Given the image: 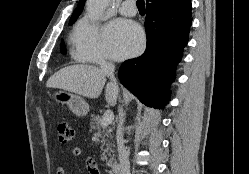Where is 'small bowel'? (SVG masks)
<instances>
[{
	"label": "small bowel",
	"instance_id": "c3829d8e",
	"mask_svg": "<svg viewBox=\"0 0 249 174\" xmlns=\"http://www.w3.org/2000/svg\"><path fill=\"white\" fill-rule=\"evenodd\" d=\"M69 154L72 157H78L81 155V149L79 147H72L69 151ZM85 166L89 174H101L94 158L86 157ZM56 174H66L65 169L63 167H58Z\"/></svg>",
	"mask_w": 249,
	"mask_h": 174
}]
</instances>
